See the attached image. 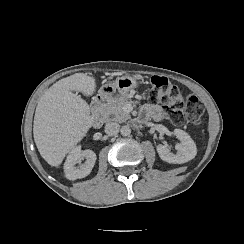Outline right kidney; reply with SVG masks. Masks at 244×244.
<instances>
[{"label":"right kidney","instance_id":"ca27d5eb","mask_svg":"<svg viewBox=\"0 0 244 244\" xmlns=\"http://www.w3.org/2000/svg\"><path fill=\"white\" fill-rule=\"evenodd\" d=\"M86 159L85 163L81 164L82 159ZM96 154L92 150H81V146L74 147L64 163V172L69 180H76L88 176L94 167ZM79 163V166L75 165Z\"/></svg>","mask_w":244,"mask_h":244}]
</instances>
